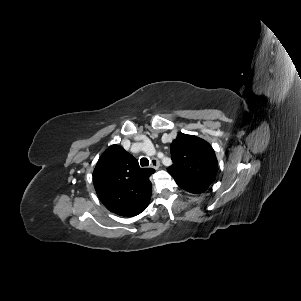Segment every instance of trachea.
<instances>
[{
	"label": "trachea",
	"mask_w": 301,
	"mask_h": 301,
	"mask_svg": "<svg viewBox=\"0 0 301 301\" xmlns=\"http://www.w3.org/2000/svg\"><path fill=\"white\" fill-rule=\"evenodd\" d=\"M140 164L143 167L148 166L149 165V160L147 158L143 157V158L140 159Z\"/></svg>",
	"instance_id": "obj_1"
}]
</instances>
